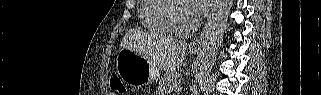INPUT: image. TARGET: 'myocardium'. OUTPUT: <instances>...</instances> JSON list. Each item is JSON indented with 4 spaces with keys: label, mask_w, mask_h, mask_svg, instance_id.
I'll list each match as a JSON object with an SVG mask.
<instances>
[{
    "label": "myocardium",
    "mask_w": 321,
    "mask_h": 95,
    "mask_svg": "<svg viewBox=\"0 0 321 95\" xmlns=\"http://www.w3.org/2000/svg\"><path fill=\"white\" fill-rule=\"evenodd\" d=\"M181 4L187 6L184 0H169V2L167 3V5L163 10V20L173 33L180 36H185L193 33L198 28L199 21L197 18H195L192 25L189 28H181L180 26H178L174 20L173 14L176 6Z\"/></svg>",
    "instance_id": "obj_1"
}]
</instances>
